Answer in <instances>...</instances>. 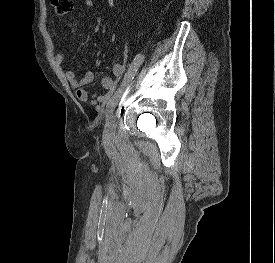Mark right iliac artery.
Listing matches in <instances>:
<instances>
[{
    "label": "right iliac artery",
    "mask_w": 275,
    "mask_h": 263,
    "mask_svg": "<svg viewBox=\"0 0 275 263\" xmlns=\"http://www.w3.org/2000/svg\"><path fill=\"white\" fill-rule=\"evenodd\" d=\"M143 60H144V57L142 55H137L134 58L132 64L130 65L127 73L124 76V79H123L120 87L117 89L115 94L111 97V99L107 103L106 115L108 113H110L112 108L117 104V102L119 101V99L121 97V94H122L123 90L132 81V79L134 78L139 66L142 64Z\"/></svg>",
    "instance_id": "right-iliac-artery-1"
}]
</instances>
